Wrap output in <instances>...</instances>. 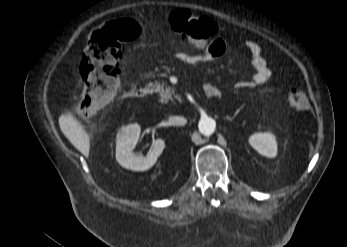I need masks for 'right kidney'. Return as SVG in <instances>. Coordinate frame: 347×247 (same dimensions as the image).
Returning <instances> with one entry per match:
<instances>
[{
  "instance_id": "1",
  "label": "right kidney",
  "mask_w": 347,
  "mask_h": 247,
  "mask_svg": "<svg viewBox=\"0 0 347 247\" xmlns=\"http://www.w3.org/2000/svg\"><path fill=\"white\" fill-rule=\"evenodd\" d=\"M141 128L138 124H130L120 129L116 138V160L126 169L146 171L151 168L163 152V139H156L153 148L146 156L133 150L139 140Z\"/></svg>"
}]
</instances>
